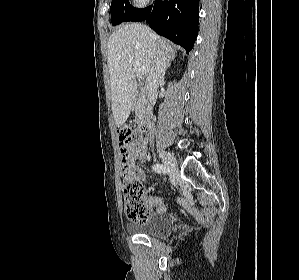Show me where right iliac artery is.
I'll return each mask as SVG.
<instances>
[{"label": "right iliac artery", "instance_id": "obj_1", "mask_svg": "<svg viewBox=\"0 0 299 280\" xmlns=\"http://www.w3.org/2000/svg\"><path fill=\"white\" fill-rule=\"evenodd\" d=\"M152 169L157 172V173H167L168 169L166 168V166L162 165V164H154L152 166Z\"/></svg>", "mask_w": 299, "mask_h": 280}]
</instances>
